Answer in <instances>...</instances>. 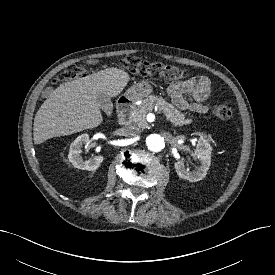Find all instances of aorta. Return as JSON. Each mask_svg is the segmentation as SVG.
I'll return each mask as SVG.
<instances>
[{
  "instance_id": "obj_1",
  "label": "aorta",
  "mask_w": 275,
  "mask_h": 275,
  "mask_svg": "<svg viewBox=\"0 0 275 275\" xmlns=\"http://www.w3.org/2000/svg\"><path fill=\"white\" fill-rule=\"evenodd\" d=\"M146 145L150 151L160 152L165 148V140L159 134H151L146 139Z\"/></svg>"
}]
</instances>
